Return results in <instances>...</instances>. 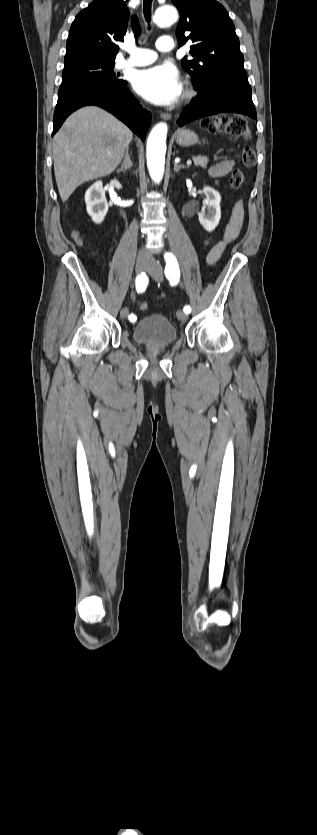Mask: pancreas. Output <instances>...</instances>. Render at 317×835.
<instances>
[{
    "label": "pancreas",
    "instance_id": "cf45deb5",
    "mask_svg": "<svg viewBox=\"0 0 317 835\" xmlns=\"http://www.w3.org/2000/svg\"><path fill=\"white\" fill-rule=\"evenodd\" d=\"M194 164L196 166L206 168L207 167V157L206 156H196V157H194Z\"/></svg>",
    "mask_w": 317,
    "mask_h": 835
}]
</instances>
